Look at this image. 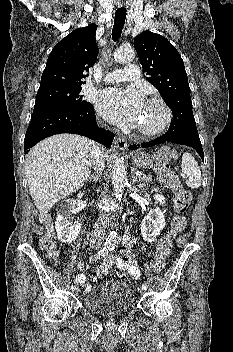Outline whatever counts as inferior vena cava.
<instances>
[{
  "label": "inferior vena cava",
  "mask_w": 233,
  "mask_h": 352,
  "mask_svg": "<svg viewBox=\"0 0 233 352\" xmlns=\"http://www.w3.org/2000/svg\"><path fill=\"white\" fill-rule=\"evenodd\" d=\"M92 163H93V167H94V170H95L97 176L99 174L98 177H100V175L105 167V163H104V156H103L102 151L98 145H96L94 148ZM103 239H104V231L102 229H100L99 227H97L91 235L90 242H91V244L100 246Z\"/></svg>",
  "instance_id": "602c4592"
}]
</instances>
